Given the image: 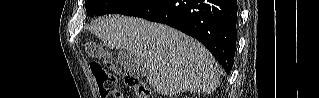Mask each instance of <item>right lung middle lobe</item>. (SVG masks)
I'll return each instance as SVG.
<instances>
[{"instance_id":"obj_1","label":"right lung middle lobe","mask_w":319,"mask_h":98,"mask_svg":"<svg viewBox=\"0 0 319 98\" xmlns=\"http://www.w3.org/2000/svg\"><path fill=\"white\" fill-rule=\"evenodd\" d=\"M146 0H87L86 11L89 16L124 13Z\"/></svg>"}]
</instances>
